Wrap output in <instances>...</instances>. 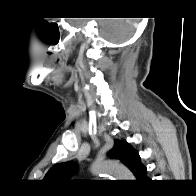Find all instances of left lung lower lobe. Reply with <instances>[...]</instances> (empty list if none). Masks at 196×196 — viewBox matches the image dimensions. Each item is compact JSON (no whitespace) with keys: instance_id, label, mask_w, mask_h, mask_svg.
I'll return each instance as SVG.
<instances>
[{"instance_id":"1","label":"left lung lower lobe","mask_w":196,"mask_h":196,"mask_svg":"<svg viewBox=\"0 0 196 196\" xmlns=\"http://www.w3.org/2000/svg\"><path fill=\"white\" fill-rule=\"evenodd\" d=\"M147 169L145 166L142 165L140 161V156L137 157V164L134 168L133 174L135 175L137 180H145L148 179L146 175Z\"/></svg>"}]
</instances>
